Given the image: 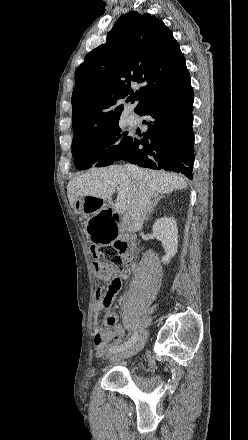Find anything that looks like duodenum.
<instances>
[{"mask_svg":"<svg viewBox=\"0 0 248 440\" xmlns=\"http://www.w3.org/2000/svg\"><path fill=\"white\" fill-rule=\"evenodd\" d=\"M116 223L120 222V215L114 214ZM117 247L127 256H132L136 251V244L132 237L129 236H117L115 241Z\"/></svg>","mask_w":248,"mask_h":440,"instance_id":"obj_1","label":"duodenum"}]
</instances>
